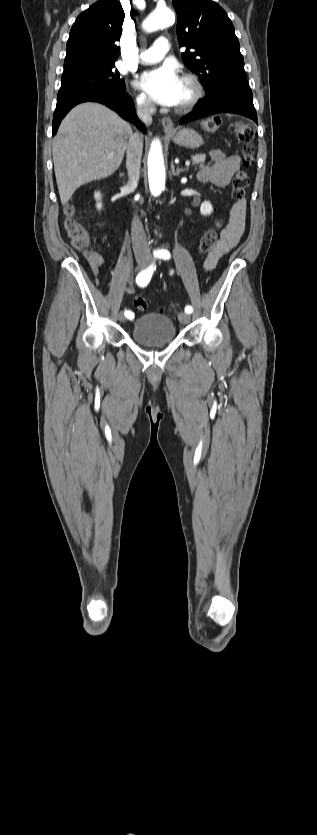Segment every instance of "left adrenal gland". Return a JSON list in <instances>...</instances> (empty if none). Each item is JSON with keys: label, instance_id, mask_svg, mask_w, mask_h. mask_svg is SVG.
<instances>
[{"label": "left adrenal gland", "instance_id": "a2214340", "mask_svg": "<svg viewBox=\"0 0 317 835\" xmlns=\"http://www.w3.org/2000/svg\"><path fill=\"white\" fill-rule=\"evenodd\" d=\"M171 170H172V174H173L174 176H177V175H179V174H180V172H183V171H185L186 169H185V168H184V169H183V168H181V169H180V168H178V167H177V168H176V171H175V166H174V164L172 163V164H171Z\"/></svg>", "mask_w": 317, "mask_h": 835}]
</instances>
